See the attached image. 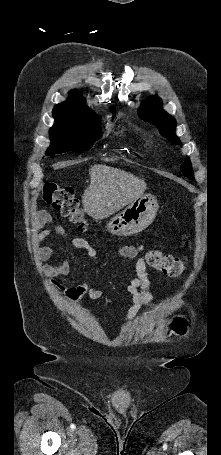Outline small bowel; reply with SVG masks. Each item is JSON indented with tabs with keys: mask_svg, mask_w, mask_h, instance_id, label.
Segmentation results:
<instances>
[{
	"mask_svg": "<svg viewBox=\"0 0 221 455\" xmlns=\"http://www.w3.org/2000/svg\"><path fill=\"white\" fill-rule=\"evenodd\" d=\"M50 216L46 212H40L35 218V229L37 230L36 241L42 242L45 238L61 234L59 227L45 228L49 223ZM71 245L79 250H83L87 255L96 259V250L84 239L74 237L70 240ZM118 254L125 259H136L135 275L131 278L129 284L126 286V291L132 296V305L125 314L124 321L129 322L135 318L138 311L144 305L149 304L153 300L150 280L146 272V263L144 258L140 255L138 249L134 246H125L118 250ZM40 260L46 261L54 257H61L62 262L58 265H53L49 268L48 274L51 283L57 285L63 292L66 298L80 307L83 299L89 297L93 300H98L104 296V291L97 289L88 282L64 288L60 286L55 277L66 276L71 272V262L69 256L63 254L59 249L52 246H43L37 252Z\"/></svg>",
	"mask_w": 221,
	"mask_h": 455,
	"instance_id": "c3829d8e",
	"label": "small bowel"
}]
</instances>
